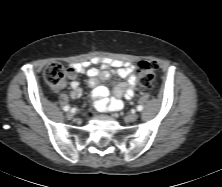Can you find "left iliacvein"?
Wrapping results in <instances>:
<instances>
[{
	"instance_id": "left-iliac-vein-1",
	"label": "left iliac vein",
	"mask_w": 222,
	"mask_h": 187,
	"mask_svg": "<svg viewBox=\"0 0 222 187\" xmlns=\"http://www.w3.org/2000/svg\"><path fill=\"white\" fill-rule=\"evenodd\" d=\"M138 114L137 113H132V114H129L128 116H126V120L129 121V122H134L138 119Z\"/></svg>"
}]
</instances>
